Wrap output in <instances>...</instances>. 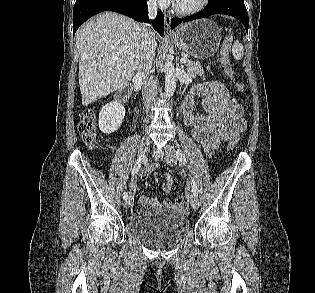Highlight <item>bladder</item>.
<instances>
[{
    "instance_id": "31cf9c89",
    "label": "bladder",
    "mask_w": 315,
    "mask_h": 293,
    "mask_svg": "<svg viewBox=\"0 0 315 293\" xmlns=\"http://www.w3.org/2000/svg\"><path fill=\"white\" fill-rule=\"evenodd\" d=\"M189 220L179 211L166 209L131 217L132 234L152 247H168L182 240L189 231Z\"/></svg>"
}]
</instances>
